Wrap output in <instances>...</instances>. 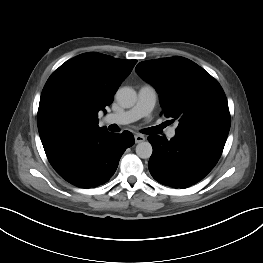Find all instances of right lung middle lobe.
I'll return each instance as SVG.
<instances>
[{"instance_id": "dd1d6c3e", "label": "right lung middle lobe", "mask_w": 263, "mask_h": 263, "mask_svg": "<svg viewBox=\"0 0 263 263\" xmlns=\"http://www.w3.org/2000/svg\"><path fill=\"white\" fill-rule=\"evenodd\" d=\"M52 121L61 133L67 135L84 131L83 113L69 101L60 102L55 106Z\"/></svg>"}]
</instances>
